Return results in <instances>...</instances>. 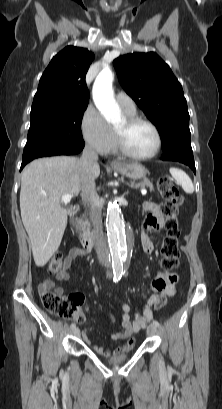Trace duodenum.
<instances>
[{"instance_id":"obj_1","label":"duodenum","mask_w":222,"mask_h":409,"mask_svg":"<svg viewBox=\"0 0 222 409\" xmlns=\"http://www.w3.org/2000/svg\"><path fill=\"white\" fill-rule=\"evenodd\" d=\"M79 210H80L79 205H74L73 207H71V209H70V218H71V220L73 222L76 221V216H77ZM95 240H96V234L92 233V234H89V235H85L82 238L83 249L86 252H90L92 250V248H93Z\"/></svg>"}]
</instances>
